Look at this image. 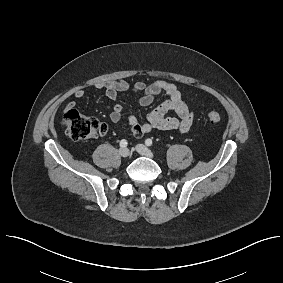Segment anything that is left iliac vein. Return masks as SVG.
Here are the masks:
<instances>
[{"label": "left iliac vein", "instance_id": "left-iliac-vein-1", "mask_svg": "<svg viewBox=\"0 0 283 283\" xmlns=\"http://www.w3.org/2000/svg\"><path fill=\"white\" fill-rule=\"evenodd\" d=\"M136 150L139 154L146 156L148 158H153V153L151 152V150H149L145 145L143 144H138L136 146Z\"/></svg>", "mask_w": 283, "mask_h": 283}]
</instances>
